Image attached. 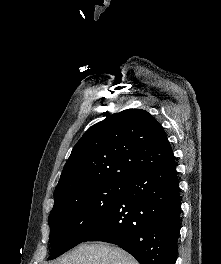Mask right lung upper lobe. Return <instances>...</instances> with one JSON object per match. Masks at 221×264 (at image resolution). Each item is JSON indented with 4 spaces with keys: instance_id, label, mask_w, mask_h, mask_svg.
<instances>
[{
    "instance_id": "1",
    "label": "right lung upper lobe",
    "mask_w": 221,
    "mask_h": 264,
    "mask_svg": "<svg viewBox=\"0 0 221 264\" xmlns=\"http://www.w3.org/2000/svg\"><path fill=\"white\" fill-rule=\"evenodd\" d=\"M173 159L158 121L147 111L128 109L89 128L74 146L54 191V207L69 196L129 178Z\"/></svg>"
}]
</instances>
